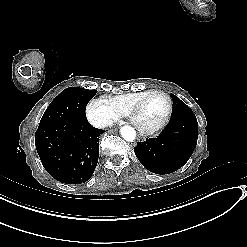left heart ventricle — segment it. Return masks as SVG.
Segmentation results:
<instances>
[{
    "label": "left heart ventricle",
    "instance_id": "b2bd125f",
    "mask_svg": "<svg viewBox=\"0 0 247 247\" xmlns=\"http://www.w3.org/2000/svg\"><path fill=\"white\" fill-rule=\"evenodd\" d=\"M167 106V100L161 95H153L144 100L143 116L144 124H156L164 116Z\"/></svg>",
    "mask_w": 247,
    "mask_h": 247
}]
</instances>
